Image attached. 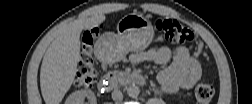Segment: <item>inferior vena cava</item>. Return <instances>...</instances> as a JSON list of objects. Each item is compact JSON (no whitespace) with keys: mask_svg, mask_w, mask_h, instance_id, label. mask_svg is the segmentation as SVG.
Returning <instances> with one entry per match:
<instances>
[{"mask_svg":"<svg viewBox=\"0 0 252 104\" xmlns=\"http://www.w3.org/2000/svg\"><path fill=\"white\" fill-rule=\"evenodd\" d=\"M112 99L115 101V102H121L122 99H123V94L122 92L120 91V89L116 88L113 90L112 92Z\"/></svg>","mask_w":252,"mask_h":104,"instance_id":"inferior-vena-cava-1","label":"inferior vena cava"}]
</instances>
